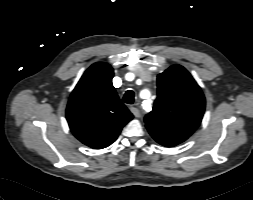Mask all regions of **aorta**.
Instances as JSON below:
<instances>
[{
  "mask_svg": "<svg viewBox=\"0 0 253 200\" xmlns=\"http://www.w3.org/2000/svg\"><path fill=\"white\" fill-rule=\"evenodd\" d=\"M143 109L146 112H150L152 110V101L150 99H147L143 102Z\"/></svg>",
  "mask_w": 253,
  "mask_h": 200,
  "instance_id": "762f6f07",
  "label": "aorta"
}]
</instances>
